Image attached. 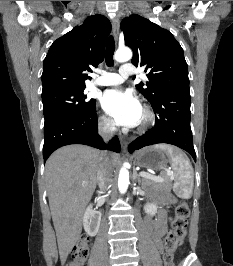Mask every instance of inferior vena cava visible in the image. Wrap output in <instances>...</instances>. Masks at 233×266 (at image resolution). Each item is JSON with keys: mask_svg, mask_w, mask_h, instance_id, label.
Here are the masks:
<instances>
[{"mask_svg": "<svg viewBox=\"0 0 233 266\" xmlns=\"http://www.w3.org/2000/svg\"><path fill=\"white\" fill-rule=\"evenodd\" d=\"M115 129L114 123L112 121H107L99 126V134L105 141H108L112 138ZM111 176V171L106 159V153L101 152V162L97 172V182L101 192L106 190L111 181Z\"/></svg>", "mask_w": 233, "mask_h": 266, "instance_id": "602c4592", "label": "inferior vena cava"}]
</instances>
